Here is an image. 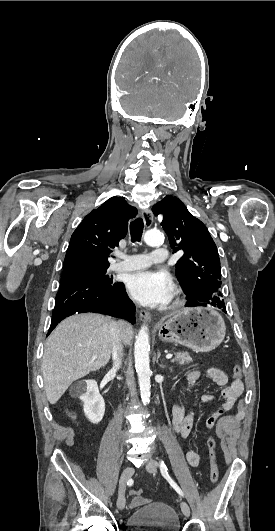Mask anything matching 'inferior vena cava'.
<instances>
[{
    "mask_svg": "<svg viewBox=\"0 0 275 531\" xmlns=\"http://www.w3.org/2000/svg\"><path fill=\"white\" fill-rule=\"evenodd\" d=\"M110 333H111V345H112V359H113V369L117 371L122 365V359L124 357V347L122 345L123 341L121 339V331L119 329L118 323L112 321L110 323Z\"/></svg>",
    "mask_w": 275,
    "mask_h": 531,
    "instance_id": "602c4592",
    "label": "inferior vena cava"
}]
</instances>
